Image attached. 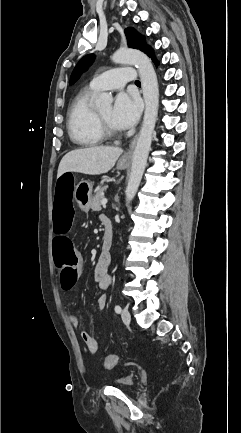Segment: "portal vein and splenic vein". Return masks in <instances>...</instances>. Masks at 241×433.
<instances>
[{
  "instance_id": "1",
  "label": "portal vein and splenic vein",
  "mask_w": 241,
  "mask_h": 433,
  "mask_svg": "<svg viewBox=\"0 0 241 433\" xmlns=\"http://www.w3.org/2000/svg\"><path fill=\"white\" fill-rule=\"evenodd\" d=\"M106 204H107V199L103 198L101 201V205L104 207V206H106Z\"/></svg>"
}]
</instances>
